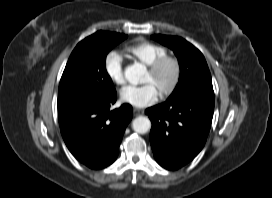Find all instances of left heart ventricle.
Here are the masks:
<instances>
[{
	"instance_id": "1",
	"label": "left heart ventricle",
	"mask_w": 272,
	"mask_h": 198,
	"mask_svg": "<svg viewBox=\"0 0 272 198\" xmlns=\"http://www.w3.org/2000/svg\"><path fill=\"white\" fill-rule=\"evenodd\" d=\"M173 70L170 66L165 67L158 75L152 76L149 71L145 76L144 82L151 83L158 93L162 91L171 81Z\"/></svg>"
}]
</instances>
